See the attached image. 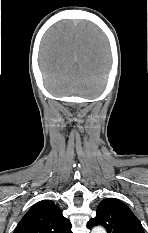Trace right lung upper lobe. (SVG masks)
Listing matches in <instances>:
<instances>
[{
	"mask_svg": "<svg viewBox=\"0 0 148 233\" xmlns=\"http://www.w3.org/2000/svg\"><path fill=\"white\" fill-rule=\"evenodd\" d=\"M71 223L53 201L36 203L22 218L13 233H72Z\"/></svg>",
	"mask_w": 148,
	"mask_h": 233,
	"instance_id": "obj_1",
	"label": "right lung upper lobe"
}]
</instances>
